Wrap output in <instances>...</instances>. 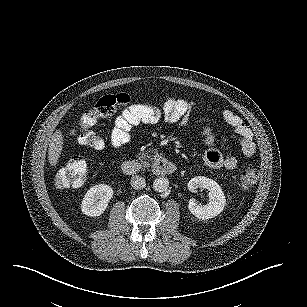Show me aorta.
<instances>
[{
    "label": "aorta",
    "instance_id": "762f6f07",
    "mask_svg": "<svg viewBox=\"0 0 307 307\" xmlns=\"http://www.w3.org/2000/svg\"><path fill=\"white\" fill-rule=\"evenodd\" d=\"M170 186L169 179L166 177H157L153 182V187L158 192H165Z\"/></svg>",
    "mask_w": 307,
    "mask_h": 307
}]
</instances>
